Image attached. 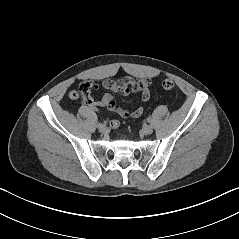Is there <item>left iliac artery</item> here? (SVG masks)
<instances>
[{
	"label": "left iliac artery",
	"instance_id": "left-iliac-artery-1",
	"mask_svg": "<svg viewBox=\"0 0 239 239\" xmlns=\"http://www.w3.org/2000/svg\"><path fill=\"white\" fill-rule=\"evenodd\" d=\"M147 122H151V118L149 117V118H147Z\"/></svg>",
	"mask_w": 239,
	"mask_h": 239
}]
</instances>
